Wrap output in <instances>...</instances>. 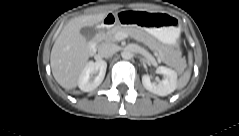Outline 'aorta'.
<instances>
[{
    "mask_svg": "<svg viewBox=\"0 0 239 136\" xmlns=\"http://www.w3.org/2000/svg\"><path fill=\"white\" fill-rule=\"evenodd\" d=\"M121 56L123 59H126V60H129L132 58V52L130 50H124L122 53H121Z\"/></svg>",
    "mask_w": 239,
    "mask_h": 136,
    "instance_id": "762f6f07",
    "label": "aorta"
}]
</instances>
